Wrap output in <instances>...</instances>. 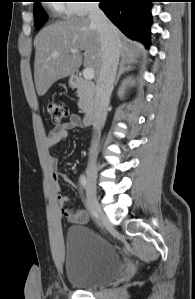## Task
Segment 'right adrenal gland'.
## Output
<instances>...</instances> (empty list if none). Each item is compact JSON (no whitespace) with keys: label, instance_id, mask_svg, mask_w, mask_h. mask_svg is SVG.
Returning a JSON list of instances; mask_svg holds the SVG:
<instances>
[{"label":"right adrenal gland","instance_id":"obj_1","mask_svg":"<svg viewBox=\"0 0 195 299\" xmlns=\"http://www.w3.org/2000/svg\"><path fill=\"white\" fill-rule=\"evenodd\" d=\"M133 64H135V62H133L132 60L122 59L120 61L117 77H116L115 83H114L115 86L117 85L121 74H123L125 72H129L134 69Z\"/></svg>","mask_w":195,"mask_h":299}]
</instances>
